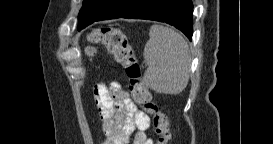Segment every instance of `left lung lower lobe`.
Here are the masks:
<instances>
[{"label": "left lung lower lobe", "mask_w": 273, "mask_h": 144, "mask_svg": "<svg viewBox=\"0 0 273 144\" xmlns=\"http://www.w3.org/2000/svg\"><path fill=\"white\" fill-rule=\"evenodd\" d=\"M93 6L80 10L78 30L95 21L113 18H139L166 22L181 30L189 40L193 33L191 0H93Z\"/></svg>", "instance_id": "0a47b994"}]
</instances>
